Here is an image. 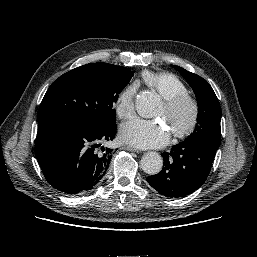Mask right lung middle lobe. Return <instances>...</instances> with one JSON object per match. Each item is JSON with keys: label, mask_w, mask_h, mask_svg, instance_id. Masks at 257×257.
<instances>
[{"label": "right lung middle lobe", "mask_w": 257, "mask_h": 257, "mask_svg": "<svg viewBox=\"0 0 257 257\" xmlns=\"http://www.w3.org/2000/svg\"><path fill=\"white\" fill-rule=\"evenodd\" d=\"M132 76L129 68L108 63L75 68L51 84L41 102L38 122L68 116L96 125L115 124L114 104Z\"/></svg>", "instance_id": "1"}]
</instances>
